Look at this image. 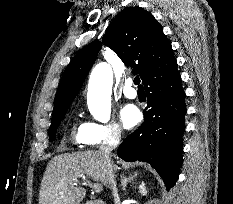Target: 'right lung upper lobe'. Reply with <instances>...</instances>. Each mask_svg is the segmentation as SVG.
<instances>
[{"instance_id": "cb5924a9", "label": "right lung upper lobe", "mask_w": 233, "mask_h": 204, "mask_svg": "<svg viewBox=\"0 0 233 204\" xmlns=\"http://www.w3.org/2000/svg\"><path fill=\"white\" fill-rule=\"evenodd\" d=\"M103 42L125 65L133 67L144 84L156 73L176 63L173 49L162 25L141 7H127L110 23ZM101 42L94 41L80 49L65 69L54 99L52 119L60 116L78 94L91 69Z\"/></svg>"}]
</instances>
